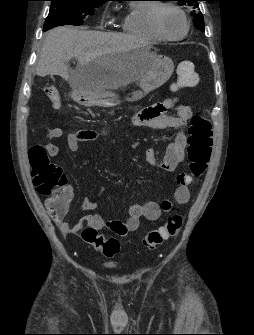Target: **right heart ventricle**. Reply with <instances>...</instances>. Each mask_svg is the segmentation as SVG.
Instances as JSON below:
<instances>
[{
  "mask_svg": "<svg viewBox=\"0 0 254 335\" xmlns=\"http://www.w3.org/2000/svg\"><path fill=\"white\" fill-rule=\"evenodd\" d=\"M155 6L156 3H131L121 20L122 30L143 40L161 41L150 25V15Z\"/></svg>",
  "mask_w": 254,
  "mask_h": 335,
  "instance_id": "e07e8e85",
  "label": "right heart ventricle"
}]
</instances>
